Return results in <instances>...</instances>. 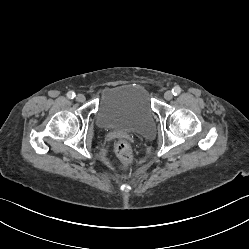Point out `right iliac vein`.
<instances>
[{
  "label": "right iliac vein",
  "mask_w": 249,
  "mask_h": 249,
  "mask_svg": "<svg viewBox=\"0 0 249 249\" xmlns=\"http://www.w3.org/2000/svg\"><path fill=\"white\" fill-rule=\"evenodd\" d=\"M76 100H77L78 102H84V101H85V96H84L83 94H78V95L76 96Z\"/></svg>",
  "instance_id": "1"
}]
</instances>
